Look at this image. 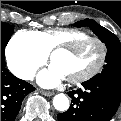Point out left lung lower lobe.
I'll use <instances>...</instances> for the list:
<instances>
[{
	"label": "left lung lower lobe",
	"mask_w": 121,
	"mask_h": 121,
	"mask_svg": "<svg viewBox=\"0 0 121 121\" xmlns=\"http://www.w3.org/2000/svg\"><path fill=\"white\" fill-rule=\"evenodd\" d=\"M84 90L70 91L72 104L58 114L59 121H109L121 101V81L94 77L82 83Z\"/></svg>",
	"instance_id": "obj_1"
}]
</instances>
